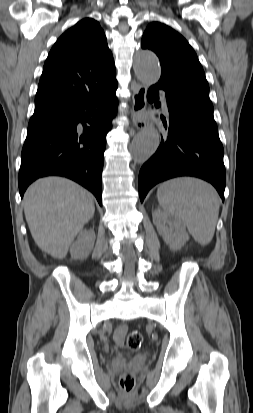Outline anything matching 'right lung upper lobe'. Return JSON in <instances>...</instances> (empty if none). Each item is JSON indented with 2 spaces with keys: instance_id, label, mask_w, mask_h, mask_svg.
<instances>
[{
  "instance_id": "obj_1",
  "label": "right lung upper lobe",
  "mask_w": 253,
  "mask_h": 413,
  "mask_svg": "<svg viewBox=\"0 0 253 413\" xmlns=\"http://www.w3.org/2000/svg\"><path fill=\"white\" fill-rule=\"evenodd\" d=\"M115 74L99 23L91 18L79 21L56 41L45 61L32 117L60 114L95 96Z\"/></svg>"
}]
</instances>
